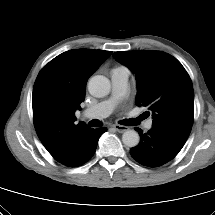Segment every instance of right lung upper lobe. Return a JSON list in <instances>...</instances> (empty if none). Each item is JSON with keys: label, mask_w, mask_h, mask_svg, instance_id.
Returning a JSON list of instances; mask_svg holds the SVG:
<instances>
[{"label": "right lung upper lobe", "mask_w": 215, "mask_h": 215, "mask_svg": "<svg viewBox=\"0 0 215 215\" xmlns=\"http://www.w3.org/2000/svg\"><path fill=\"white\" fill-rule=\"evenodd\" d=\"M111 51L73 49L66 51L39 72L33 87V119L37 135L48 152L62 164L76 153L79 140L91 128L75 124L86 83Z\"/></svg>", "instance_id": "obj_1"}]
</instances>
